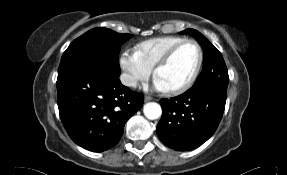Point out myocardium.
Returning a JSON list of instances; mask_svg holds the SVG:
<instances>
[{
    "instance_id": "1",
    "label": "myocardium",
    "mask_w": 287,
    "mask_h": 175,
    "mask_svg": "<svg viewBox=\"0 0 287 175\" xmlns=\"http://www.w3.org/2000/svg\"><path fill=\"white\" fill-rule=\"evenodd\" d=\"M189 43L194 44L198 49L199 58H198L197 66H196L193 74L191 75V77L183 85H181L177 88H174V89L166 90L167 93H169L170 95H180V94L188 91L194 85L196 80L198 79L200 72L202 70L203 62H204V51H203L202 46L200 45V43L198 41H196L194 39H185L182 42L173 46L171 49H169L154 66L153 74H154V77H157L158 71L162 67L166 66L172 60L174 55L177 53V51L181 47H183L184 45L189 44Z\"/></svg>"
}]
</instances>
